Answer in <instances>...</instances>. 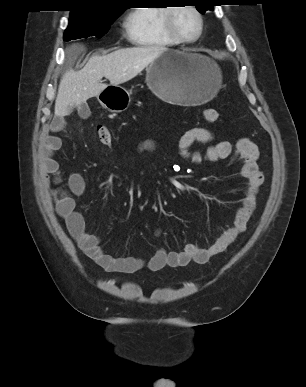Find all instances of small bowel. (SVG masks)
I'll use <instances>...</instances> for the list:
<instances>
[{
  "label": "small bowel",
  "instance_id": "obj_1",
  "mask_svg": "<svg viewBox=\"0 0 306 387\" xmlns=\"http://www.w3.org/2000/svg\"><path fill=\"white\" fill-rule=\"evenodd\" d=\"M65 126V117L59 116L52 121L47 130L41 149L43 179L49 188L56 212L64 220L72 238L84 254L105 271L134 273L145 266L151 271H158L165 267L186 266L191 262L204 264L223 252L246 230L256 207L257 193L263 183V175L258 167V147L248 138H241L235 144L229 141L212 144L214 136L209 129L194 127L179 136L177 148L180 157L194 164H202L226 159L234 153L241 165L240 173L246 185L233 224L206 248H200L191 242L186 243L180 251H167L161 248L147 262L137 257H114L106 253L101 247L100 238L87 231L82 214L76 210L74 196H79L85 191L84 177L79 173H72L67 178L66 187L62 185L61 166L55 158L62 141L55 133L61 132ZM196 143L210 146L205 151L193 150L192 146ZM157 149L158 145L152 139H145L138 146L140 152H153Z\"/></svg>",
  "mask_w": 306,
  "mask_h": 387
}]
</instances>
